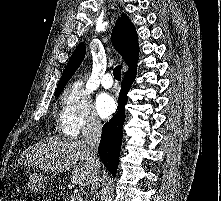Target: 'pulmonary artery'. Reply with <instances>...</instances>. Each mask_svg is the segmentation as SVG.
Returning <instances> with one entry per match:
<instances>
[{
  "label": "pulmonary artery",
  "mask_w": 221,
  "mask_h": 201,
  "mask_svg": "<svg viewBox=\"0 0 221 201\" xmlns=\"http://www.w3.org/2000/svg\"><path fill=\"white\" fill-rule=\"evenodd\" d=\"M101 85L104 88H111L113 85V78L112 75L110 73H106L105 75H103L102 79H101Z\"/></svg>",
  "instance_id": "e3ab8cb5"
}]
</instances>
